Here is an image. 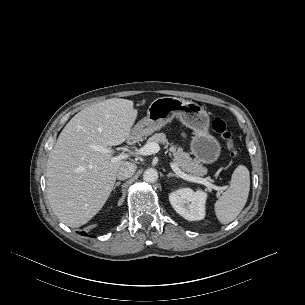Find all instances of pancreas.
<instances>
[{
    "label": "pancreas",
    "mask_w": 305,
    "mask_h": 305,
    "mask_svg": "<svg viewBox=\"0 0 305 305\" xmlns=\"http://www.w3.org/2000/svg\"><path fill=\"white\" fill-rule=\"evenodd\" d=\"M149 143H160L165 145V147H168L170 144L164 133L154 134L147 140V144ZM169 152L173 156L174 163L184 172L193 176H203L207 173V169L197 159L193 160L189 153L184 152L181 147L171 144Z\"/></svg>",
    "instance_id": "pancreas-1"
}]
</instances>
